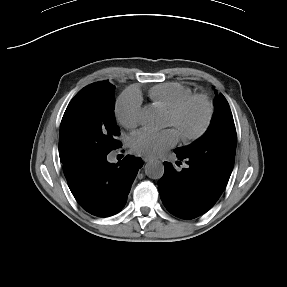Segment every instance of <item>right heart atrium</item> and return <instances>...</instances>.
<instances>
[{
	"mask_svg": "<svg viewBox=\"0 0 287 287\" xmlns=\"http://www.w3.org/2000/svg\"><path fill=\"white\" fill-rule=\"evenodd\" d=\"M115 113L119 122L127 129H135L141 123V97L135 91L123 93L117 100Z\"/></svg>",
	"mask_w": 287,
	"mask_h": 287,
	"instance_id": "1",
	"label": "right heart atrium"
}]
</instances>
